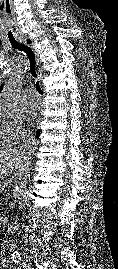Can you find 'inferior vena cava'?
Returning a JSON list of instances; mask_svg holds the SVG:
<instances>
[{
  "label": "inferior vena cava",
  "mask_w": 118,
  "mask_h": 269,
  "mask_svg": "<svg viewBox=\"0 0 118 269\" xmlns=\"http://www.w3.org/2000/svg\"><path fill=\"white\" fill-rule=\"evenodd\" d=\"M26 146H27V147L29 146V143H28V142H26ZM26 163H28V158H27V156H26Z\"/></svg>",
  "instance_id": "1"
}]
</instances>
